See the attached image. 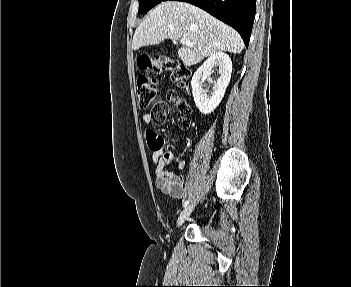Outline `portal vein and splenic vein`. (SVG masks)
Returning <instances> with one entry per match:
<instances>
[{
    "mask_svg": "<svg viewBox=\"0 0 351 287\" xmlns=\"http://www.w3.org/2000/svg\"><path fill=\"white\" fill-rule=\"evenodd\" d=\"M180 42H181L183 45L193 47V43H191L189 40H187V39H185V38H181Z\"/></svg>",
    "mask_w": 351,
    "mask_h": 287,
    "instance_id": "18ae733b",
    "label": "portal vein and splenic vein"
}]
</instances>
